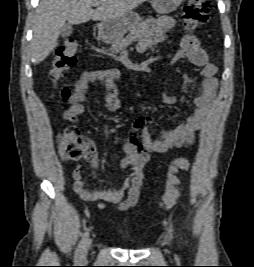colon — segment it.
<instances>
[{
	"label": "colon",
	"mask_w": 254,
	"mask_h": 267,
	"mask_svg": "<svg viewBox=\"0 0 254 267\" xmlns=\"http://www.w3.org/2000/svg\"><path fill=\"white\" fill-rule=\"evenodd\" d=\"M183 25L187 30H196L209 19V2L207 0H186L182 7ZM77 43L67 40L60 46L54 55L49 70V78L54 85H58L67 75V72L76 64ZM59 95L67 99L70 95L66 87L59 88ZM60 157L66 161L85 159L92 161L97 157L92 141L81 135L79 129L70 124L57 137ZM190 163L185 158L173 159L167 170L166 191L161 203L165 210L172 208L179 198V180L176 173L179 170H188Z\"/></svg>",
	"instance_id": "obj_1"
}]
</instances>
